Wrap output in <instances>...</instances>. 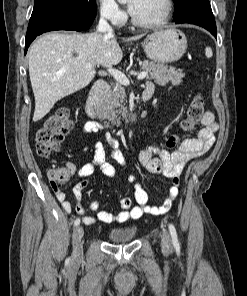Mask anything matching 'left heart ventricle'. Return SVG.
<instances>
[{
    "label": "left heart ventricle",
    "instance_id": "b2bd125f",
    "mask_svg": "<svg viewBox=\"0 0 247 296\" xmlns=\"http://www.w3.org/2000/svg\"><path fill=\"white\" fill-rule=\"evenodd\" d=\"M163 10V0H137L133 16L140 22H152L161 17Z\"/></svg>",
    "mask_w": 247,
    "mask_h": 296
}]
</instances>
